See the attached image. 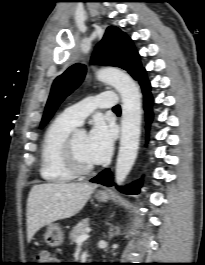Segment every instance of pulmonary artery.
Instances as JSON below:
<instances>
[{
  "label": "pulmonary artery",
  "mask_w": 205,
  "mask_h": 265,
  "mask_svg": "<svg viewBox=\"0 0 205 265\" xmlns=\"http://www.w3.org/2000/svg\"><path fill=\"white\" fill-rule=\"evenodd\" d=\"M117 104L116 94L112 91H105L66 108L62 115L74 124L80 125L95 109L114 108Z\"/></svg>",
  "instance_id": "e3ab8cb5"
}]
</instances>
